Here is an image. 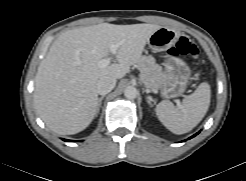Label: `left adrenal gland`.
<instances>
[{"mask_svg":"<svg viewBox=\"0 0 246 181\" xmlns=\"http://www.w3.org/2000/svg\"><path fill=\"white\" fill-rule=\"evenodd\" d=\"M147 102L152 106V104H151V102H150V100H147Z\"/></svg>","mask_w":246,"mask_h":181,"instance_id":"obj_1","label":"left adrenal gland"}]
</instances>
